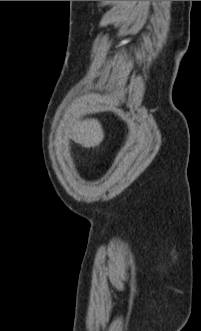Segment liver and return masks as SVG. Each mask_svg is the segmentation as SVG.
I'll return each instance as SVG.
<instances>
[{"instance_id": "liver-1", "label": "liver", "mask_w": 201, "mask_h": 331, "mask_svg": "<svg viewBox=\"0 0 201 331\" xmlns=\"http://www.w3.org/2000/svg\"><path fill=\"white\" fill-rule=\"evenodd\" d=\"M63 126L65 134L85 148L98 146L104 139L103 128L97 119L78 121L66 115Z\"/></svg>"}]
</instances>
